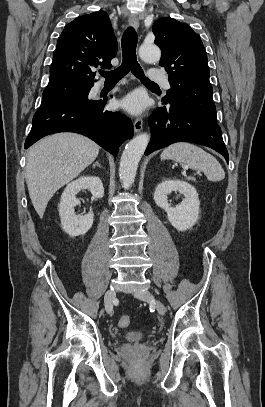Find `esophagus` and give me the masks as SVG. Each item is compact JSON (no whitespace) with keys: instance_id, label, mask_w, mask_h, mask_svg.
I'll return each instance as SVG.
<instances>
[{"instance_id":"34e87169","label":"esophagus","mask_w":265,"mask_h":407,"mask_svg":"<svg viewBox=\"0 0 265 407\" xmlns=\"http://www.w3.org/2000/svg\"><path fill=\"white\" fill-rule=\"evenodd\" d=\"M129 23L136 30L139 28V20H138V18H137V16L135 14H130L129 15ZM133 126H134V132L135 133L140 132L142 130V128H143V119L141 117L136 118L134 120Z\"/></svg>"}]
</instances>
